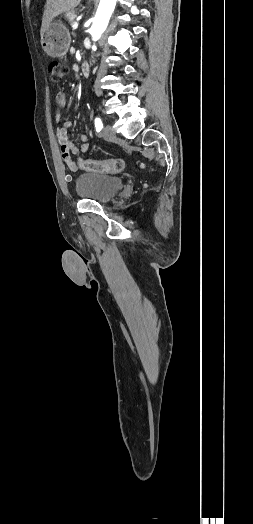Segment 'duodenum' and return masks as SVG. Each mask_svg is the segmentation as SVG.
Wrapping results in <instances>:
<instances>
[{"label": "duodenum", "mask_w": 253, "mask_h": 524, "mask_svg": "<svg viewBox=\"0 0 253 524\" xmlns=\"http://www.w3.org/2000/svg\"><path fill=\"white\" fill-rule=\"evenodd\" d=\"M80 70H81V73L84 75V76H88L89 73H90V67H89V64L87 62H84L81 64L80 66Z\"/></svg>", "instance_id": "410a0bca"}]
</instances>
